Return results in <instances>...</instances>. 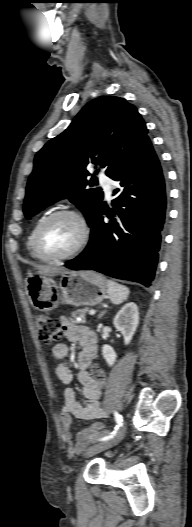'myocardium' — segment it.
<instances>
[{
	"instance_id": "obj_1",
	"label": "myocardium",
	"mask_w": 192,
	"mask_h": 527,
	"mask_svg": "<svg viewBox=\"0 0 192 527\" xmlns=\"http://www.w3.org/2000/svg\"><path fill=\"white\" fill-rule=\"evenodd\" d=\"M58 216H71L75 218L80 225L81 235H80L78 243L70 252L64 255H60V256H48L44 254L41 249L40 234L43 228L45 227V225L49 221H51L53 218L58 217ZM89 237H90V226L84 214L77 209L61 208V209H57L51 212L37 224L34 234H33V249H34V252L37 258H39L40 260L44 262H49V263H57V262L69 260L75 257L76 255H78L87 245L89 241Z\"/></svg>"
}]
</instances>
